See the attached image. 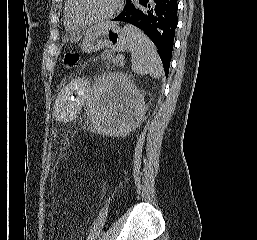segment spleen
<instances>
[{
  "label": "spleen",
  "instance_id": "1",
  "mask_svg": "<svg viewBox=\"0 0 257 240\" xmlns=\"http://www.w3.org/2000/svg\"><path fill=\"white\" fill-rule=\"evenodd\" d=\"M125 29L128 47L132 53L133 72L140 75L150 74L152 78L161 77L163 66L155 45L140 29L131 26Z\"/></svg>",
  "mask_w": 257,
  "mask_h": 240
}]
</instances>
